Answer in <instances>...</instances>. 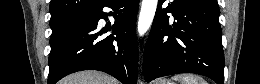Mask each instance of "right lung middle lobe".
<instances>
[{"label": "right lung middle lobe", "mask_w": 260, "mask_h": 84, "mask_svg": "<svg viewBox=\"0 0 260 84\" xmlns=\"http://www.w3.org/2000/svg\"><path fill=\"white\" fill-rule=\"evenodd\" d=\"M84 17L76 19L70 23L64 24L62 26L56 27V28H52V35L50 38V44L55 43L57 40H59L70 28H72L73 26H75L76 24L81 23L82 21H84Z\"/></svg>", "instance_id": "obj_1"}]
</instances>
